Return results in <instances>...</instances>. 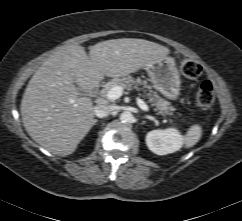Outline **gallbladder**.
Returning <instances> with one entry per match:
<instances>
[{"instance_id": "gallbladder-1", "label": "gallbladder", "mask_w": 242, "mask_h": 221, "mask_svg": "<svg viewBox=\"0 0 242 221\" xmlns=\"http://www.w3.org/2000/svg\"><path fill=\"white\" fill-rule=\"evenodd\" d=\"M75 86L77 87L78 92H79L80 94H82V95H86V91L80 89V87L78 86V84H77L76 82H75Z\"/></svg>"}]
</instances>
